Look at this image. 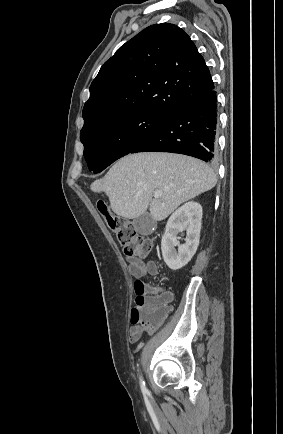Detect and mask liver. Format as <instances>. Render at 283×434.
<instances>
[{
    "instance_id": "obj_1",
    "label": "liver",
    "mask_w": 283,
    "mask_h": 434,
    "mask_svg": "<svg viewBox=\"0 0 283 434\" xmlns=\"http://www.w3.org/2000/svg\"><path fill=\"white\" fill-rule=\"evenodd\" d=\"M216 183L213 170L196 158L142 152L119 159L90 188L93 192H104L111 209L119 216L135 219L149 208L151 217L161 221L182 203L211 190ZM155 191H160L161 197L152 199Z\"/></svg>"
}]
</instances>
